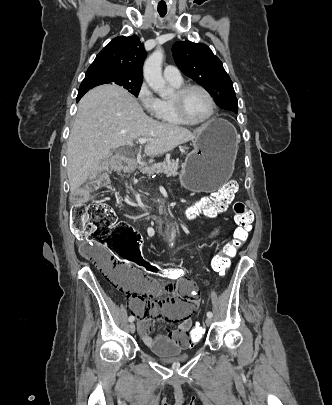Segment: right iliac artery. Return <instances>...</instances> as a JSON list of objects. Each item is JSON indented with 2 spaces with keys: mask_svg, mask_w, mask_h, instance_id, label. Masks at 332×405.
Masks as SVG:
<instances>
[{
  "mask_svg": "<svg viewBox=\"0 0 332 405\" xmlns=\"http://www.w3.org/2000/svg\"><path fill=\"white\" fill-rule=\"evenodd\" d=\"M129 322H133L135 320V317L133 315L129 316L128 318Z\"/></svg>",
  "mask_w": 332,
  "mask_h": 405,
  "instance_id": "1",
  "label": "right iliac artery"
}]
</instances>
